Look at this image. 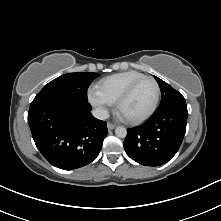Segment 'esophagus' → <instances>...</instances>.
I'll list each match as a JSON object with an SVG mask.
<instances>
[{"label": "esophagus", "instance_id": "obj_1", "mask_svg": "<svg viewBox=\"0 0 221 221\" xmlns=\"http://www.w3.org/2000/svg\"><path fill=\"white\" fill-rule=\"evenodd\" d=\"M115 127H116V125L113 124V123H108V124H107L108 130H113Z\"/></svg>", "mask_w": 221, "mask_h": 221}]
</instances>
